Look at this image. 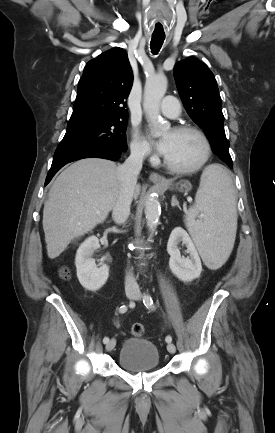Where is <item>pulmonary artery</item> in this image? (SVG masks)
<instances>
[{"mask_svg":"<svg viewBox=\"0 0 275 433\" xmlns=\"http://www.w3.org/2000/svg\"><path fill=\"white\" fill-rule=\"evenodd\" d=\"M160 109L161 112L169 118H176L181 112L179 101L173 96L165 97L161 103Z\"/></svg>","mask_w":275,"mask_h":433,"instance_id":"1","label":"pulmonary artery"}]
</instances>
